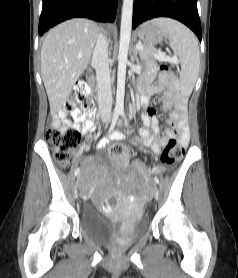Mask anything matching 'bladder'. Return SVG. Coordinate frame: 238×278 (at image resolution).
Returning <instances> with one entry per match:
<instances>
[{"instance_id":"31cf9c89","label":"bladder","mask_w":238,"mask_h":278,"mask_svg":"<svg viewBox=\"0 0 238 278\" xmlns=\"http://www.w3.org/2000/svg\"><path fill=\"white\" fill-rule=\"evenodd\" d=\"M81 225L87 235L108 246H122L134 241L147 230L145 218H140L134 222L113 219L100 212L93 205L84 207Z\"/></svg>"}]
</instances>
